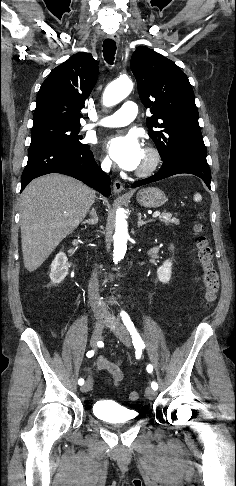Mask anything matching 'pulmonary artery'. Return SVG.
I'll return each instance as SVG.
<instances>
[{"instance_id":"obj_1","label":"pulmonary artery","mask_w":236,"mask_h":486,"mask_svg":"<svg viewBox=\"0 0 236 486\" xmlns=\"http://www.w3.org/2000/svg\"><path fill=\"white\" fill-rule=\"evenodd\" d=\"M137 105L132 101L125 102L115 113L101 118L97 125L103 127H122L131 123L137 116ZM92 125H89L91 127Z\"/></svg>"}]
</instances>
